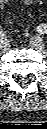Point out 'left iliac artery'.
<instances>
[{
  "mask_svg": "<svg viewBox=\"0 0 47 129\" xmlns=\"http://www.w3.org/2000/svg\"><path fill=\"white\" fill-rule=\"evenodd\" d=\"M47 26L46 25H40V26H38L37 27V32H39V33H41V34H44V33H46L47 32Z\"/></svg>",
  "mask_w": 47,
  "mask_h": 129,
  "instance_id": "44dca946",
  "label": "left iliac artery"
}]
</instances>
